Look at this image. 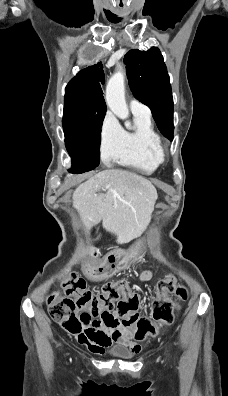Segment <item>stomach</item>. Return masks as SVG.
Instances as JSON below:
<instances>
[{"mask_svg":"<svg viewBox=\"0 0 228 396\" xmlns=\"http://www.w3.org/2000/svg\"><path fill=\"white\" fill-rule=\"evenodd\" d=\"M143 245L144 240L143 238L137 239L128 249L127 254L130 259H135L141 256L143 253Z\"/></svg>","mask_w":228,"mask_h":396,"instance_id":"obj_1","label":"stomach"}]
</instances>
